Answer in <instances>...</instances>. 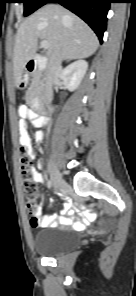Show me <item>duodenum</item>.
Here are the masks:
<instances>
[{
	"label": "duodenum",
	"mask_w": 136,
	"mask_h": 296,
	"mask_svg": "<svg viewBox=\"0 0 136 296\" xmlns=\"http://www.w3.org/2000/svg\"><path fill=\"white\" fill-rule=\"evenodd\" d=\"M46 57L43 55H36L27 62L26 68L29 73L35 72L36 70L43 71L46 68ZM48 124L46 118L38 117L35 126L42 127Z\"/></svg>",
	"instance_id": "1"
}]
</instances>
